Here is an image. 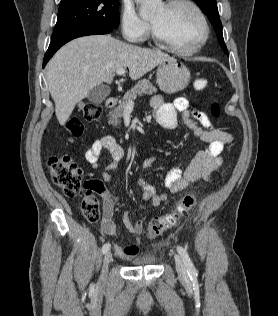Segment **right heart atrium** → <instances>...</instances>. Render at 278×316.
Segmentation results:
<instances>
[{
    "instance_id": "d8ad5b80",
    "label": "right heart atrium",
    "mask_w": 278,
    "mask_h": 316,
    "mask_svg": "<svg viewBox=\"0 0 278 316\" xmlns=\"http://www.w3.org/2000/svg\"><path fill=\"white\" fill-rule=\"evenodd\" d=\"M121 31L125 39L130 42L144 40L149 31V24L135 11L134 7L125 3L121 13Z\"/></svg>"
}]
</instances>
